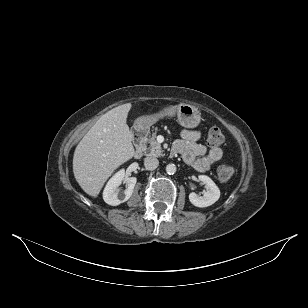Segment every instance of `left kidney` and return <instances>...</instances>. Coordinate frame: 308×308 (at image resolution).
I'll list each match as a JSON object with an SVG mask.
<instances>
[{
  "mask_svg": "<svg viewBox=\"0 0 308 308\" xmlns=\"http://www.w3.org/2000/svg\"><path fill=\"white\" fill-rule=\"evenodd\" d=\"M199 180L205 184L206 191L203 192V196H199L192 192L189 194L190 202L196 207H208L214 204L220 197V190L216 184L206 175H199Z\"/></svg>",
  "mask_w": 308,
  "mask_h": 308,
  "instance_id": "left-kidney-1",
  "label": "left kidney"
}]
</instances>
